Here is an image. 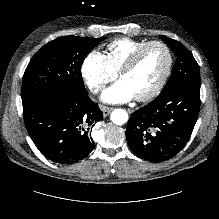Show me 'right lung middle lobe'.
<instances>
[{
  "instance_id": "1",
  "label": "right lung middle lobe",
  "mask_w": 219,
  "mask_h": 219,
  "mask_svg": "<svg viewBox=\"0 0 219 219\" xmlns=\"http://www.w3.org/2000/svg\"><path fill=\"white\" fill-rule=\"evenodd\" d=\"M105 38L59 37L43 46L29 62L22 81V99L60 89L87 94L81 65Z\"/></svg>"
}]
</instances>
